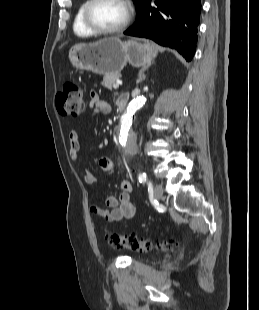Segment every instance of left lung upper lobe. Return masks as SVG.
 I'll return each instance as SVG.
<instances>
[{"instance_id":"obj_1","label":"left lung upper lobe","mask_w":259,"mask_h":310,"mask_svg":"<svg viewBox=\"0 0 259 310\" xmlns=\"http://www.w3.org/2000/svg\"><path fill=\"white\" fill-rule=\"evenodd\" d=\"M134 3L136 4L137 10L140 7L141 3L143 2V0H133Z\"/></svg>"}]
</instances>
